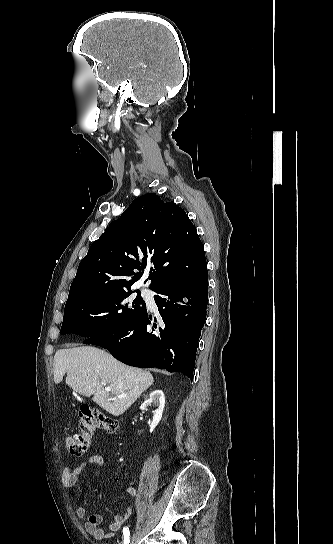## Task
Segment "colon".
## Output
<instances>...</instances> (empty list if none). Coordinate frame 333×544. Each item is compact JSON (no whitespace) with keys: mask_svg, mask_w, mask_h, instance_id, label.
Listing matches in <instances>:
<instances>
[{"mask_svg":"<svg viewBox=\"0 0 333 544\" xmlns=\"http://www.w3.org/2000/svg\"><path fill=\"white\" fill-rule=\"evenodd\" d=\"M118 423L102 412L90 407H82L79 412L77 431L66 436L65 444L69 453L74 456L83 455L89 447L96 429H104L110 433L117 430Z\"/></svg>","mask_w":333,"mask_h":544,"instance_id":"1","label":"colon"}]
</instances>
